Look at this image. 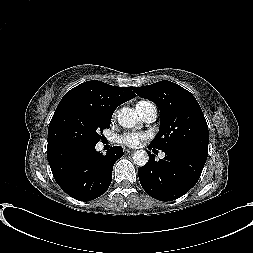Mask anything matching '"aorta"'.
<instances>
[{
	"instance_id": "aorta-1",
	"label": "aorta",
	"mask_w": 253,
	"mask_h": 253,
	"mask_svg": "<svg viewBox=\"0 0 253 253\" xmlns=\"http://www.w3.org/2000/svg\"><path fill=\"white\" fill-rule=\"evenodd\" d=\"M139 122L137 114L128 107H123L118 114V123L124 128H133ZM133 162L138 166H144L149 160L145 150H138L133 155Z\"/></svg>"
}]
</instances>
